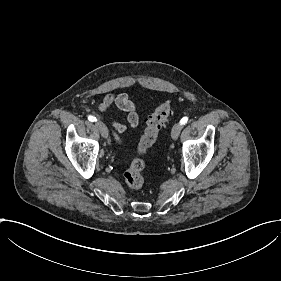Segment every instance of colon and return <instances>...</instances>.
<instances>
[{
	"instance_id": "obj_1",
	"label": "colon",
	"mask_w": 281,
	"mask_h": 281,
	"mask_svg": "<svg viewBox=\"0 0 281 281\" xmlns=\"http://www.w3.org/2000/svg\"><path fill=\"white\" fill-rule=\"evenodd\" d=\"M173 104L170 99H164L149 115L137 146V156L133 158L128 169L123 174V182L131 189H139L145 182L144 157L158 141L162 126L172 113Z\"/></svg>"
}]
</instances>
